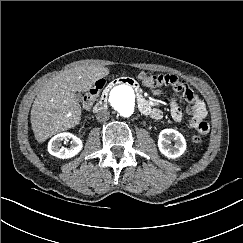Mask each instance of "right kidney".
<instances>
[{"instance_id": "obj_1", "label": "right kidney", "mask_w": 243, "mask_h": 243, "mask_svg": "<svg viewBox=\"0 0 243 243\" xmlns=\"http://www.w3.org/2000/svg\"><path fill=\"white\" fill-rule=\"evenodd\" d=\"M71 139V146L61 147L63 141ZM83 147L82 140L69 132H63L55 135L48 143V152L61 159L71 158L77 155Z\"/></svg>"}]
</instances>
